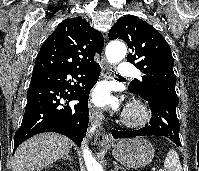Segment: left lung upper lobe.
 <instances>
[{"label": "left lung upper lobe", "instance_id": "5c2ea615", "mask_svg": "<svg viewBox=\"0 0 199 171\" xmlns=\"http://www.w3.org/2000/svg\"><path fill=\"white\" fill-rule=\"evenodd\" d=\"M117 38L131 49L127 61L145 74L142 82L132 81L129 90L142 97L160 96L179 102L175 91L174 59L164 37L147 22L127 15L109 31V39Z\"/></svg>", "mask_w": 199, "mask_h": 171}]
</instances>
